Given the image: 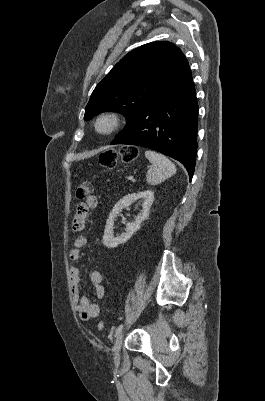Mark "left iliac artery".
<instances>
[{"mask_svg": "<svg viewBox=\"0 0 265 401\" xmlns=\"http://www.w3.org/2000/svg\"><path fill=\"white\" fill-rule=\"evenodd\" d=\"M123 324H120L117 328H116V332H115V336H117L123 329Z\"/></svg>", "mask_w": 265, "mask_h": 401, "instance_id": "1", "label": "left iliac artery"}]
</instances>
